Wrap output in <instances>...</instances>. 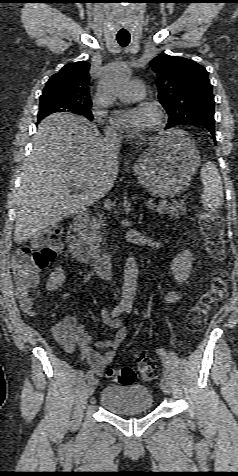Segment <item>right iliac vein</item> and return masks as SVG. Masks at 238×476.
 Segmentation results:
<instances>
[{
	"label": "right iliac vein",
	"instance_id": "obj_1",
	"mask_svg": "<svg viewBox=\"0 0 238 476\" xmlns=\"http://www.w3.org/2000/svg\"><path fill=\"white\" fill-rule=\"evenodd\" d=\"M97 383H98V380L95 377L89 378L87 383V393L89 396H91L94 393Z\"/></svg>",
	"mask_w": 238,
	"mask_h": 476
}]
</instances>
